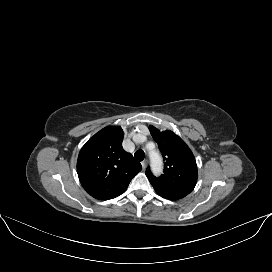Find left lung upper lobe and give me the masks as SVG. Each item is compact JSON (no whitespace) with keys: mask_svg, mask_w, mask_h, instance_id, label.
I'll list each match as a JSON object with an SVG mask.
<instances>
[{"mask_svg":"<svg viewBox=\"0 0 272 272\" xmlns=\"http://www.w3.org/2000/svg\"><path fill=\"white\" fill-rule=\"evenodd\" d=\"M153 139L157 142L166 161L161 177L146 170L151 185L156 193L169 200H178L188 195L197 182V165L194 155L185 142L172 131L160 132L149 126Z\"/></svg>","mask_w":272,"mask_h":272,"instance_id":"obj_1","label":"left lung upper lobe"}]
</instances>
